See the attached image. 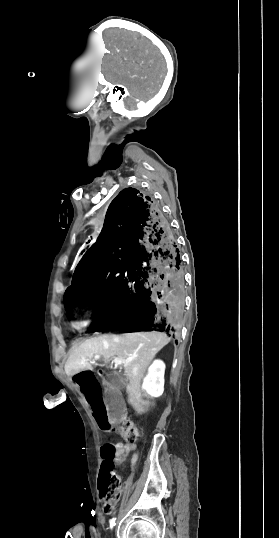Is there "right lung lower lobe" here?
Instances as JSON below:
<instances>
[{
    "label": "right lung lower lobe",
    "instance_id": "1",
    "mask_svg": "<svg viewBox=\"0 0 279 538\" xmlns=\"http://www.w3.org/2000/svg\"><path fill=\"white\" fill-rule=\"evenodd\" d=\"M184 294L182 260L164 212L138 190H122L75 270L65 306L95 305L89 331L174 335L184 315Z\"/></svg>",
    "mask_w": 279,
    "mask_h": 538
}]
</instances>
